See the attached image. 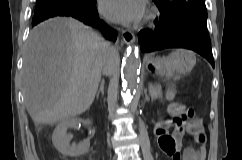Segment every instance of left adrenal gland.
<instances>
[{
  "label": "left adrenal gland",
  "mask_w": 242,
  "mask_h": 160,
  "mask_svg": "<svg viewBox=\"0 0 242 160\" xmlns=\"http://www.w3.org/2000/svg\"><path fill=\"white\" fill-rule=\"evenodd\" d=\"M146 99L148 98L147 93L145 94Z\"/></svg>",
  "instance_id": "obj_1"
}]
</instances>
